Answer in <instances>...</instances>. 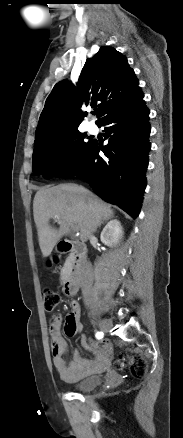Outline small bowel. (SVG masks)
<instances>
[{"instance_id": "obj_1", "label": "small bowel", "mask_w": 183, "mask_h": 438, "mask_svg": "<svg viewBox=\"0 0 183 438\" xmlns=\"http://www.w3.org/2000/svg\"><path fill=\"white\" fill-rule=\"evenodd\" d=\"M80 312L81 308L79 303L76 301L72 302L65 322L66 325H73L75 327V333H81L83 329L80 322ZM62 322V315H54L50 321L49 327L53 365L60 378L66 382H75L88 375L102 372L106 367L109 345L107 343L97 345L96 343L89 341L85 335L81 336V345L85 349L95 353L97 356L96 360L90 361L76 350L73 354L72 361L69 364H66L64 355L67 350V343L61 334Z\"/></svg>"}]
</instances>
